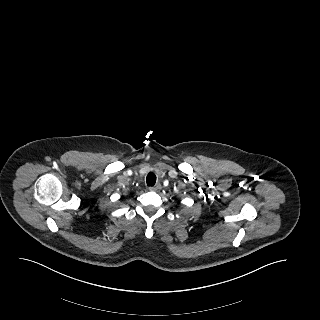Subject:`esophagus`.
<instances>
[{"label":"esophagus","instance_id":"1","mask_svg":"<svg viewBox=\"0 0 320 320\" xmlns=\"http://www.w3.org/2000/svg\"><path fill=\"white\" fill-rule=\"evenodd\" d=\"M161 188V184L157 183L155 186L149 187L150 191H158Z\"/></svg>","mask_w":320,"mask_h":320}]
</instances>
